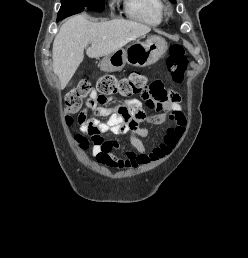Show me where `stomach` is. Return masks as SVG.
Returning <instances> with one entry per match:
<instances>
[{
  "label": "stomach",
  "mask_w": 248,
  "mask_h": 258,
  "mask_svg": "<svg viewBox=\"0 0 248 258\" xmlns=\"http://www.w3.org/2000/svg\"><path fill=\"white\" fill-rule=\"evenodd\" d=\"M167 51V42L159 36L148 37L144 42L136 40L125 49L105 56L100 68L105 72L122 70L126 64L137 67L150 66L156 63Z\"/></svg>",
  "instance_id": "stomach-1"
}]
</instances>
